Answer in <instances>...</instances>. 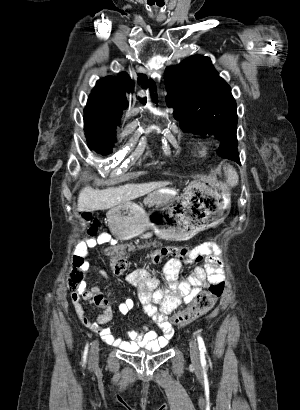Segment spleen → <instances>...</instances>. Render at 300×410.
<instances>
[{
  "label": "spleen",
  "instance_id": "spleen-1",
  "mask_svg": "<svg viewBox=\"0 0 300 410\" xmlns=\"http://www.w3.org/2000/svg\"><path fill=\"white\" fill-rule=\"evenodd\" d=\"M227 175H228V182L232 183V185H235L238 183V175L237 173L232 169V167H227Z\"/></svg>",
  "mask_w": 300,
  "mask_h": 410
}]
</instances>
